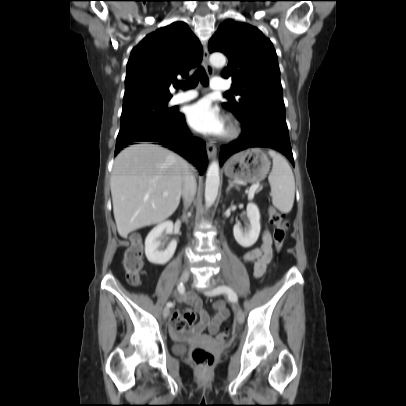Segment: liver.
Instances as JSON below:
<instances>
[{"label": "liver", "mask_w": 406, "mask_h": 406, "mask_svg": "<svg viewBox=\"0 0 406 406\" xmlns=\"http://www.w3.org/2000/svg\"><path fill=\"white\" fill-rule=\"evenodd\" d=\"M185 167L193 169L177 154L151 143L131 145L117 155L110 188L114 218L122 238L160 223L175 212Z\"/></svg>", "instance_id": "1"}]
</instances>
